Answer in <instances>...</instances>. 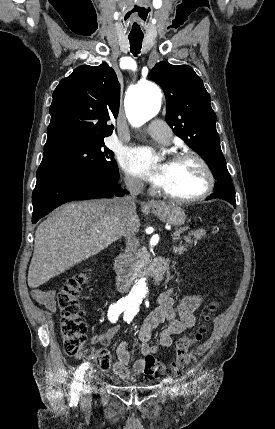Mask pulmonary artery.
I'll use <instances>...</instances> for the list:
<instances>
[{"label":"pulmonary artery","mask_w":275,"mask_h":429,"mask_svg":"<svg viewBox=\"0 0 275 429\" xmlns=\"http://www.w3.org/2000/svg\"><path fill=\"white\" fill-rule=\"evenodd\" d=\"M147 132L152 138L163 144H168L172 137L170 129L160 122H153L150 124L147 128Z\"/></svg>","instance_id":"e3ab8cb5"}]
</instances>
